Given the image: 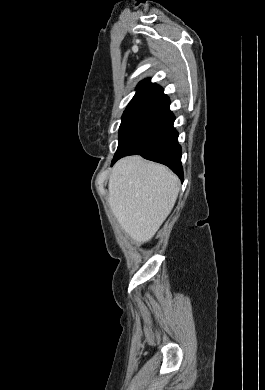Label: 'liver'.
<instances>
[{"instance_id": "liver-1", "label": "liver", "mask_w": 265, "mask_h": 390, "mask_svg": "<svg viewBox=\"0 0 265 390\" xmlns=\"http://www.w3.org/2000/svg\"><path fill=\"white\" fill-rule=\"evenodd\" d=\"M108 189V202L121 228L136 243H144L173 209L179 179L166 166L129 156L113 166Z\"/></svg>"}]
</instances>
